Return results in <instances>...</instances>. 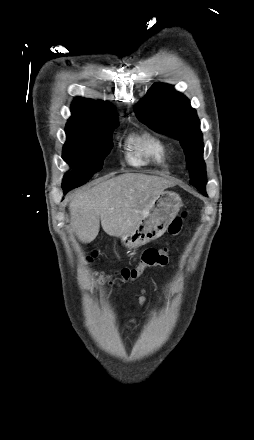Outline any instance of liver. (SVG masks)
I'll use <instances>...</instances> for the list:
<instances>
[{
	"mask_svg": "<svg viewBox=\"0 0 254 440\" xmlns=\"http://www.w3.org/2000/svg\"><path fill=\"white\" fill-rule=\"evenodd\" d=\"M172 185L167 179L139 173L101 182L71 200V227L85 243L97 237L100 221L108 235L121 238L138 227L153 201Z\"/></svg>",
	"mask_w": 254,
	"mask_h": 440,
	"instance_id": "obj_1",
	"label": "liver"
}]
</instances>
